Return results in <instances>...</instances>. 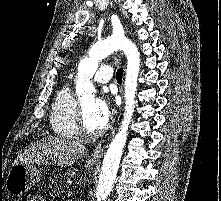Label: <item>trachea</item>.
I'll return each mask as SVG.
<instances>
[{"label":"trachea","mask_w":221,"mask_h":201,"mask_svg":"<svg viewBox=\"0 0 221 201\" xmlns=\"http://www.w3.org/2000/svg\"><path fill=\"white\" fill-rule=\"evenodd\" d=\"M123 69H118L116 72V79L118 83L122 82Z\"/></svg>","instance_id":"trachea-1"}]
</instances>
